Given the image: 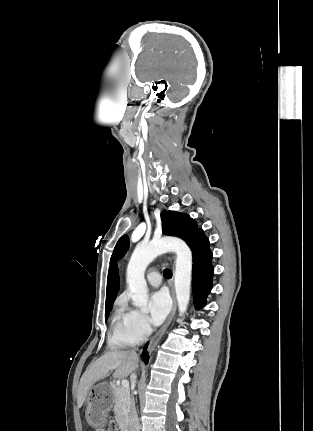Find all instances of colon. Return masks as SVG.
<instances>
[{"instance_id":"1","label":"colon","mask_w":313,"mask_h":431,"mask_svg":"<svg viewBox=\"0 0 313 431\" xmlns=\"http://www.w3.org/2000/svg\"><path fill=\"white\" fill-rule=\"evenodd\" d=\"M106 431H117V426H116V424L115 423H110L109 425H108V427L106 428Z\"/></svg>"}]
</instances>
